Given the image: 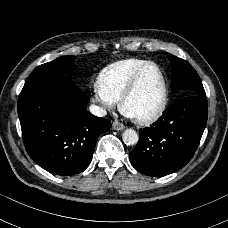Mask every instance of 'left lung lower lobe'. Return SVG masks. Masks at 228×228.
<instances>
[{"instance_id":"obj_1","label":"left lung lower lobe","mask_w":228,"mask_h":228,"mask_svg":"<svg viewBox=\"0 0 228 228\" xmlns=\"http://www.w3.org/2000/svg\"><path fill=\"white\" fill-rule=\"evenodd\" d=\"M207 123V99L189 96L167 108L150 127L140 129V138L130 153L139 172L153 177L171 174L194 155Z\"/></svg>"}]
</instances>
